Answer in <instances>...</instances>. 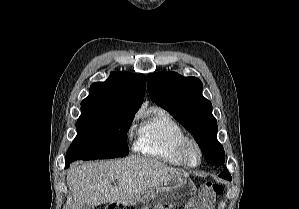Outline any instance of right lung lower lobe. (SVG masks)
Here are the masks:
<instances>
[{"label":"right lung lower lobe","mask_w":299,"mask_h":209,"mask_svg":"<svg viewBox=\"0 0 299 209\" xmlns=\"http://www.w3.org/2000/svg\"><path fill=\"white\" fill-rule=\"evenodd\" d=\"M70 161H66V167L68 168L70 166Z\"/></svg>","instance_id":"98d812e1"}]
</instances>
